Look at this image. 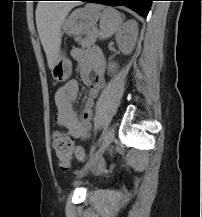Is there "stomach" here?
Wrapping results in <instances>:
<instances>
[{
    "instance_id": "stomach-1",
    "label": "stomach",
    "mask_w": 202,
    "mask_h": 217,
    "mask_svg": "<svg viewBox=\"0 0 202 217\" xmlns=\"http://www.w3.org/2000/svg\"><path fill=\"white\" fill-rule=\"evenodd\" d=\"M100 13L97 9L89 6L75 9L64 20L62 30L68 35L78 34L82 31L91 30L97 23ZM72 72L71 62L65 53L60 51L58 59L52 68V76L58 82L66 81Z\"/></svg>"
}]
</instances>
